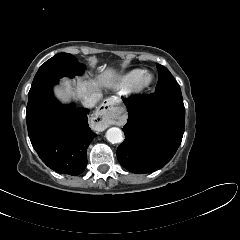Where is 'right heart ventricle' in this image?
Returning <instances> with one entry per match:
<instances>
[{"label": "right heart ventricle", "instance_id": "1", "mask_svg": "<svg viewBox=\"0 0 240 240\" xmlns=\"http://www.w3.org/2000/svg\"><path fill=\"white\" fill-rule=\"evenodd\" d=\"M143 69H133L122 75L118 81V86L122 88L132 87L144 74Z\"/></svg>", "mask_w": 240, "mask_h": 240}]
</instances>
